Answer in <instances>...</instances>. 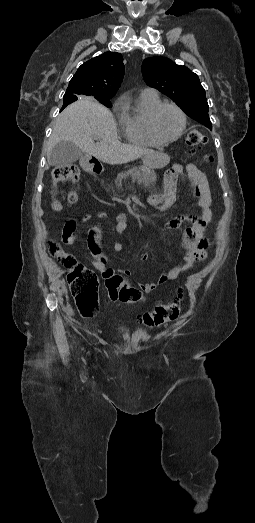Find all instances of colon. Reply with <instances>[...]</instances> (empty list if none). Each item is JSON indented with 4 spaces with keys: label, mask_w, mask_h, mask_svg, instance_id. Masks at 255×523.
I'll list each match as a JSON object with an SVG mask.
<instances>
[{
    "label": "colon",
    "mask_w": 255,
    "mask_h": 523,
    "mask_svg": "<svg viewBox=\"0 0 255 523\" xmlns=\"http://www.w3.org/2000/svg\"><path fill=\"white\" fill-rule=\"evenodd\" d=\"M206 141L205 136L198 129H191L185 139L188 146L198 147ZM211 160L210 156L206 157ZM80 171L75 165H62L56 167L52 173L54 184L53 207L59 211L62 208L57 198L56 188L58 185L71 182L76 184L79 180ZM76 191L69 192L67 200L69 204L77 201ZM48 251L67 269V280L70 291L77 305L78 311L84 317L94 316L98 310V279L96 274L82 265L75 256L66 252L56 240L48 241ZM106 279V289L111 300H120L126 303H138L143 300V294L138 288L130 287L125 280L118 275H111ZM182 295L177 293L172 299L158 304L152 311L143 315L142 321L147 326H161L175 321L180 314Z\"/></svg>",
    "instance_id": "1"
}]
</instances>
